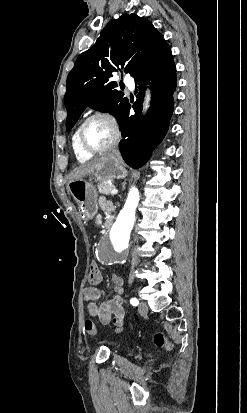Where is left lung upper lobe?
I'll return each instance as SVG.
<instances>
[{"label": "left lung upper lobe", "instance_id": "5c2ea615", "mask_svg": "<svg viewBox=\"0 0 247 413\" xmlns=\"http://www.w3.org/2000/svg\"><path fill=\"white\" fill-rule=\"evenodd\" d=\"M166 47L162 34L145 18L124 14L111 20L96 43L78 56L67 77V131L87 107L110 112L121 125L129 100L110 77L122 69L135 78Z\"/></svg>", "mask_w": 247, "mask_h": 413}]
</instances>
